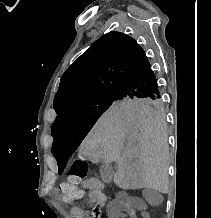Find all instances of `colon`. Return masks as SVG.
I'll list each match as a JSON object with an SVG mask.
<instances>
[{
    "instance_id": "5ec220e1",
    "label": "colon",
    "mask_w": 211,
    "mask_h": 218,
    "mask_svg": "<svg viewBox=\"0 0 211 218\" xmlns=\"http://www.w3.org/2000/svg\"><path fill=\"white\" fill-rule=\"evenodd\" d=\"M87 172V163L83 160H78L72 165L68 178L59 187L60 198L64 203H72L82 197L83 190L80 184ZM91 218H100L98 209H94Z\"/></svg>"
}]
</instances>
